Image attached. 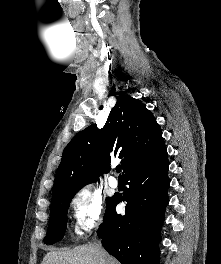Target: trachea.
Masks as SVG:
<instances>
[{
    "mask_svg": "<svg viewBox=\"0 0 221 264\" xmlns=\"http://www.w3.org/2000/svg\"><path fill=\"white\" fill-rule=\"evenodd\" d=\"M116 171H117V173L121 172V166L120 165L116 167Z\"/></svg>",
    "mask_w": 221,
    "mask_h": 264,
    "instance_id": "3493384b",
    "label": "trachea"
}]
</instances>
